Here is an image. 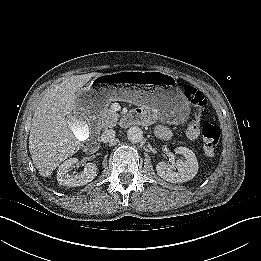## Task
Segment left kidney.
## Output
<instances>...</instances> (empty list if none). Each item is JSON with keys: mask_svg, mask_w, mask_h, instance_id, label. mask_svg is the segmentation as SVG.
<instances>
[{"mask_svg": "<svg viewBox=\"0 0 261 261\" xmlns=\"http://www.w3.org/2000/svg\"><path fill=\"white\" fill-rule=\"evenodd\" d=\"M175 153L183 155L184 160H177L175 167L162 161L156 165L157 174L171 183H183L191 180L198 172V161L192 150L186 147L175 148Z\"/></svg>", "mask_w": 261, "mask_h": 261, "instance_id": "obj_1", "label": "left kidney"}]
</instances>
